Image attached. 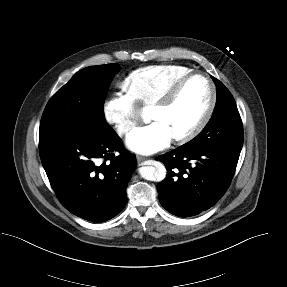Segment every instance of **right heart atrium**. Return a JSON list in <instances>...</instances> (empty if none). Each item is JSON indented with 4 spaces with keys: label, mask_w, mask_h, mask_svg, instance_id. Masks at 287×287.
Wrapping results in <instances>:
<instances>
[{
    "label": "right heart atrium",
    "mask_w": 287,
    "mask_h": 287,
    "mask_svg": "<svg viewBox=\"0 0 287 287\" xmlns=\"http://www.w3.org/2000/svg\"><path fill=\"white\" fill-rule=\"evenodd\" d=\"M105 120L121 136L128 134L139 119L137 101L126 85L110 96L103 105Z\"/></svg>",
    "instance_id": "d8ad5b80"
}]
</instances>
